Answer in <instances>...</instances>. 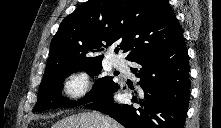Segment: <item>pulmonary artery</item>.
<instances>
[{
  "label": "pulmonary artery",
  "mask_w": 221,
  "mask_h": 128,
  "mask_svg": "<svg viewBox=\"0 0 221 128\" xmlns=\"http://www.w3.org/2000/svg\"><path fill=\"white\" fill-rule=\"evenodd\" d=\"M114 65L119 69H124L125 68V61L122 59H115Z\"/></svg>",
  "instance_id": "e3ab8cb5"
}]
</instances>
